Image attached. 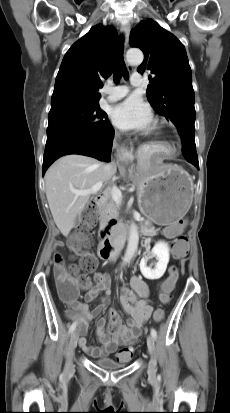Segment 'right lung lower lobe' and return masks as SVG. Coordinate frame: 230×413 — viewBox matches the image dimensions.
Returning <instances> with one entry per match:
<instances>
[{
  "mask_svg": "<svg viewBox=\"0 0 230 413\" xmlns=\"http://www.w3.org/2000/svg\"><path fill=\"white\" fill-rule=\"evenodd\" d=\"M114 130L111 124L104 130L91 134L68 133L47 140L43 161V175L58 158L68 154L94 157L100 161L111 160Z\"/></svg>",
  "mask_w": 230,
  "mask_h": 413,
  "instance_id": "98d812e1",
  "label": "right lung lower lobe"
}]
</instances>
